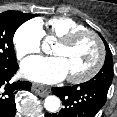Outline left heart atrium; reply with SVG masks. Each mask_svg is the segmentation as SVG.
<instances>
[{
  "label": "left heart atrium",
  "mask_w": 117,
  "mask_h": 117,
  "mask_svg": "<svg viewBox=\"0 0 117 117\" xmlns=\"http://www.w3.org/2000/svg\"><path fill=\"white\" fill-rule=\"evenodd\" d=\"M22 73L31 80L45 84L56 83L67 77L62 60L56 56L29 58L22 64Z\"/></svg>",
  "instance_id": "left-heart-atrium-1"
}]
</instances>
